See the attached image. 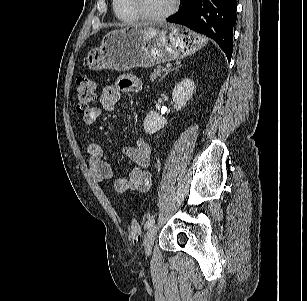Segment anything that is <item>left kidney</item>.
<instances>
[{"instance_id":"obj_1","label":"left kidney","mask_w":307,"mask_h":301,"mask_svg":"<svg viewBox=\"0 0 307 301\" xmlns=\"http://www.w3.org/2000/svg\"><path fill=\"white\" fill-rule=\"evenodd\" d=\"M195 89V83L192 79L185 78L181 80L173 89L172 98L175 102L176 110L183 108L192 97ZM167 120L158 115L155 111H150L143 123L144 130L148 134H153L164 128Z\"/></svg>"}]
</instances>
